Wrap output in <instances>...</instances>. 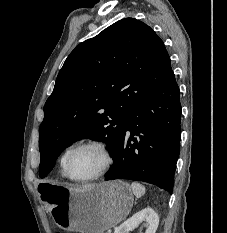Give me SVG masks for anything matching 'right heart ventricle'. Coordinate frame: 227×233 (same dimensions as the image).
<instances>
[{"label":"right heart ventricle","instance_id":"1","mask_svg":"<svg viewBox=\"0 0 227 233\" xmlns=\"http://www.w3.org/2000/svg\"><path fill=\"white\" fill-rule=\"evenodd\" d=\"M72 147H68L64 150V152L61 154L60 156V159H59V170H60V175L61 177L63 178H66V175H65V171H64V162H65V158H66V155L67 153L69 152V150L71 149Z\"/></svg>","mask_w":227,"mask_h":233}]
</instances>
